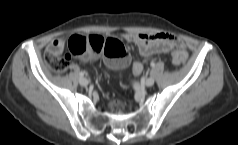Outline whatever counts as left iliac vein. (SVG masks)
Returning <instances> with one entry per match:
<instances>
[{"label":"left iliac vein","instance_id":"obj_1","mask_svg":"<svg viewBox=\"0 0 238 145\" xmlns=\"http://www.w3.org/2000/svg\"><path fill=\"white\" fill-rule=\"evenodd\" d=\"M154 79L152 77H149L145 80L144 84L146 87H151L154 85Z\"/></svg>","mask_w":238,"mask_h":145}]
</instances>
